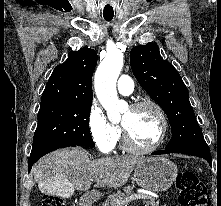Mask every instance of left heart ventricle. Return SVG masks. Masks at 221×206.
<instances>
[{
  "label": "left heart ventricle",
  "instance_id": "obj_1",
  "mask_svg": "<svg viewBox=\"0 0 221 206\" xmlns=\"http://www.w3.org/2000/svg\"><path fill=\"white\" fill-rule=\"evenodd\" d=\"M121 125L138 147L152 145L158 138L161 127L157 113L149 106L135 110L128 109L122 116Z\"/></svg>",
  "mask_w": 221,
  "mask_h": 206
}]
</instances>
